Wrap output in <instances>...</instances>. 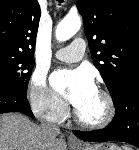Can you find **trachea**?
Wrapping results in <instances>:
<instances>
[{
	"mask_svg": "<svg viewBox=\"0 0 139 150\" xmlns=\"http://www.w3.org/2000/svg\"><path fill=\"white\" fill-rule=\"evenodd\" d=\"M64 0H58L59 3H62Z\"/></svg>",
	"mask_w": 139,
	"mask_h": 150,
	"instance_id": "1",
	"label": "trachea"
}]
</instances>
